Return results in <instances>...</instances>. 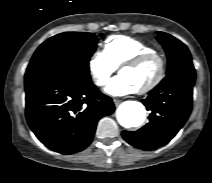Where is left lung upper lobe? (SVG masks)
Listing matches in <instances>:
<instances>
[{
    "instance_id": "1",
    "label": "left lung upper lobe",
    "mask_w": 212,
    "mask_h": 183,
    "mask_svg": "<svg viewBox=\"0 0 212 183\" xmlns=\"http://www.w3.org/2000/svg\"><path fill=\"white\" fill-rule=\"evenodd\" d=\"M157 40L163 45L168 57L167 73L177 65L191 60V55L186 45L175 37L164 32H158Z\"/></svg>"
}]
</instances>
